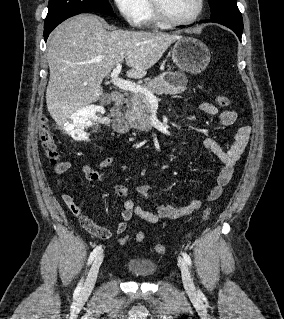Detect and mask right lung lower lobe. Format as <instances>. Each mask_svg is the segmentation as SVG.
<instances>
[{
    "mask_svg": "<svg viewBox=\"0 0 284 319\" xmlns=\"http://www.w3.org/2000/svg\"><path fill=\"white\" fill-rule=\"evenodd\" d=\"M93 12H99V13H103V14H106V15H110V16H115V14L112 12H106V11H93ZM74 15H77V14H72V15H68V16H65V17H62L58 20H56L55 22L47 25V26H44V40L46 41L49 34L51 33V31L56 27L58 26L61 22H63L64 20H66L67 18L69 17H72Z\"/></svg>",
    "mask_w": 284,
    "mask_h": 319,
    "instance_id": "98d812e1",
    "label": "right lung lower lobe"
}]
</instances>
